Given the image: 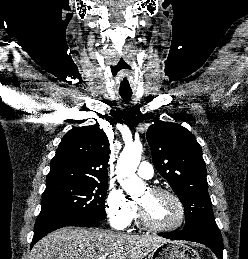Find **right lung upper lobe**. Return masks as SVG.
I'll list each match as a JSON object with an SVG mask.
<instances>
[{"label": "right lung upper lobe", "instance_id": "obj_1", "mask_svg": "<svg viewBox=\"0 0 248 259\" xmlns=\"http://www.w3.org/2000/svg\"><path fill=\"white\" fill-rule=\"evenodd\" d=\"M109 142L96 125L73 128L61 140L51 161L46 184L108 182Z\"/></svg>", "mask_w": 248, "mask_h": 259}]
</instances>
